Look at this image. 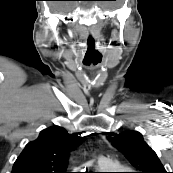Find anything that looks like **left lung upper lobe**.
<instances>
[{
  "label": "left lung upper lobe",
  "instance_id": "5c2ea615",
  "mask_svg": "<svg viewBox=\"0 0 173 173\" xmlns=\"http://www.w3.org/2000/svg\"><path fill=\"white\" fill-rule=\"evenodd\" d=\"M111 142L140 171L139 173H167L156 153L146 144L139 132H123L114 136Z\"/></svg>",
  "mask_w": 173,
  "mask_h": 173
}]
</instances>
